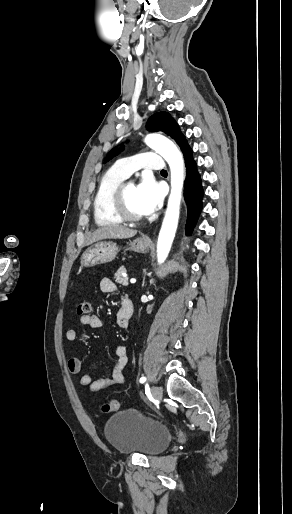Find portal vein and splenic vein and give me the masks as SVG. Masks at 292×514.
<instances>
[{
  "instance_id": "18ae733b",
  "label": "portal vein and splenic vein",
  "mask_w": 292,
  "mask_h": 514,
  "mask_svg": "<svg viewBox=\"0 0 292 514\" xmlns=\"http://www.w3.org/2000/svg\"><path fill=\"white\" fill-rule=\"evenodd\" d=\"M130 282H131V284H135L136 280H134V278H133V280H130Z\"/></svg>"
}]
</instances>
